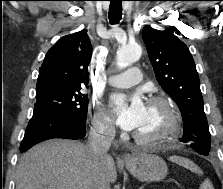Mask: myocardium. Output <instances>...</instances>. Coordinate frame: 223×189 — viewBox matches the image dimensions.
Returning <instances> with one entry per match:
<instances>
[{
    "instance_id": "obj_1",
    "label": "myocardium",
    "mask_w": 223,
    "mask_h": 189,
    "mask_svg": "<svg viewBox=\"0 0 223 189\" xmlns=\"http://www.w3.org/2000/svg\"><path fill=\"white\" fill-rule=\"evenodd\" d=\"M147 104L161 106L166 112V122L154 133L134 132L133 137L143 143H153L177 134L181 127V114L175 102L168 96L157 94L150 96Z\"/></svg>"
}]
</instances>
